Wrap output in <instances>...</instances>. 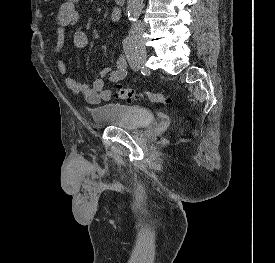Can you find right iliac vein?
I'll return each instance as SVG.
<instances>
[{
  "label": "right iliac vein",
  "instance_id": "right-iliac-vein-1",
  "mask_svg": "<svg viewBox=\"0 0 275 263\" xmlns=\"http://www.w3.org/2000/svg\"><path fill=\"white\" fill-rule=\"evenodd\" d=\"M133 42H134V45L137 48V52H138V55H139L140 59H145L146 56H147V50H146V47H145L142 39L135 38L133 40Z\"/></svg>",
  "mask_w": 275,
  "mask_h": 263
}]
</instances>
